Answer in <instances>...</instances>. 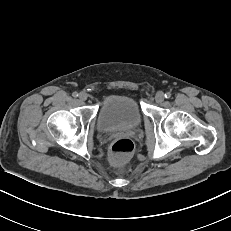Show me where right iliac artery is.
Instances as JSON below:
<instances>
[{
  "label": "right iliac artery",
  "instance_id": "82829eb1",
  "mask_svg": "<svg viewBox=\"0 0 231 231\" xmlns=\"http://www.w3.org/2000/svg\"><path fill=\"white\" fill-rule=\"evenodd\" d=\"M72 96L73 97H78V93L77 92H73Z\"/></svg>",
  "mask_w": 231,
  "mask_h": 231
}]
</instances>
